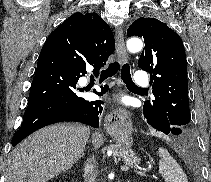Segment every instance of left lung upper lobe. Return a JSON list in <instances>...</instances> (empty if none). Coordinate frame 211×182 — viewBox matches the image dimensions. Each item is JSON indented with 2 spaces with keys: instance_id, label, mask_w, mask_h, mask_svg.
Segmentation results:
<instances>
[{
  "instance_id": "obj_1",
  "label": "left lung upper lobe",
  "mask_w": 211,
  "mask_h": 182,
  "mask_svg": "<svg viewBox=\"0 0 211 182\" xmlns=\"http://www.w3.org/2000/svg\"><path fill=\"white\" fill-rule=\"evenodd\" d=\"M127 35L144 39L139 68L150 72L154 100L144 102L148 124L159 130L164 123L188 129L191 120L188 99L187 63L181 38L155 18H139Z\"/></svg>"
}]
</instances>
